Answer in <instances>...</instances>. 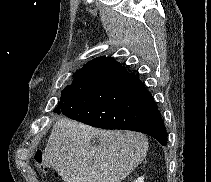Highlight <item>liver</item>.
<instances>
[{
  "label": "liver",
  "instance_id": "obj_1",
  "mask_svg": "<svg viewBox=\"0 0 211 182\" xmlns=\"http://www.w3.org/2000/svg\"><path fill=\"white\" fill-rule=\"evenodd\" d=\"M94 137L98 144L92 143ZM147 151L143 134L100 130L61 118L53 126L43 160L64 182H121Z\"/></svg>",
  "mask_w": 211,
  "mask_h": 182
}]
</instances>
